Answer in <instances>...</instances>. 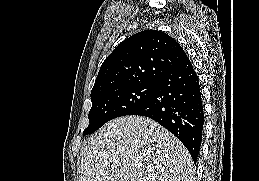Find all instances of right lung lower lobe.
Returning <instances> with one entry per match:
<instances>
[{
    "instance_id": "right-lung-lower-lobe-1",
    "label": "right lung lower lobe",
    "mask_w": 259,
    "mask_h": 181,
    "mask_svg": "<svg viewBox=\"0 0 259 181\" xmlns=\"http://www.w3.org/2000/svg\"><path fill=\"white\" fill-rule=\"evenodd\" d=\"M130 115L149 117L172 132L197 160L203 132L204 109L198 76L187 58L154 82L148 100Z\"/></svg>"
}]
</instances>
